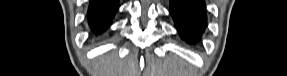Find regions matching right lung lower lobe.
Listing matches in <instances>:
<instances>
[{
	"instance_id": "obj_1",
	"label": "right lung lower lobe",
	"mask_w": 287,
	"mask_h": 76,
	"mask_svg": "<svg viewBox=\"0 0 287 76\" xmlns=\"http://www.w3.org/2000/svg\"><path fill=\"white\" fill-rule=\"evenodd\" d=\"M118 10V0H91L88 9V20L96 33L105 31Z\"/></svg>"
}]
</instances>
